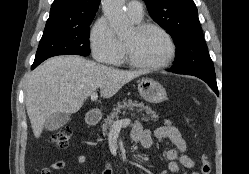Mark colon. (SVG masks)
<instances>
[{
    "label": "colon",
    "instance_id": "colon-1",
    "mask_svg": "<svg viewBox=\"0 0 249 174\" xmlns=\"http://www.w3.org/2000/svg\"><path fill=\"white\" fill-rule=\"evenodd\" d=\"M72 137V130L70 127H62L51 136V143L58 149H65L68 147ZM212 170L211 161L207 155L201 157V174H210Z\"/></svg>",
    "mask_w": 249,
    "mask_h": 174
}]
</instances>
